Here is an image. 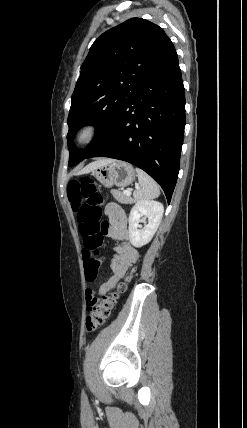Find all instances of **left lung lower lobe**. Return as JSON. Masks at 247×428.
Segmentation results:
<instances>
[{
  "label": "left lung lower lobe",
  "instance_id": "obj_1",
  "mask_svg": "<svg viewBox=\"0 0 247 428\" xmlns=\"http://www.w3.org/2000/svg\"><path fill=\"white\" fill-rule=\"evenodd\" d=\"M185 123V90L174 51L125 101L86 158L110 157L141 168L170 203Z\"/></svg>",
  "mask_w": 247,
  "mask_h": 428
}]
</instances>
